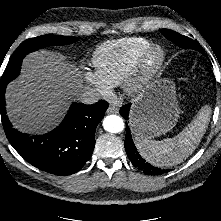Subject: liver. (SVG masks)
I'll return each mask as SVG.
<instances>
[{"mask_svg": "<svg viewBox=\"0 0 221 221\" xmlns=\"http://www.w3.org/2000/svg\"><path fill=\"white\" fill-rule=\"evenodd\" d=\"M82 88L78 69L49 51L29 54L22 74L6 91L8 116L22 132H44L57 124Z\"/></svg>", "mask_w": 221, "mask_h": 221, "instance_id": "1", "label": "liver"}]
</instances>
